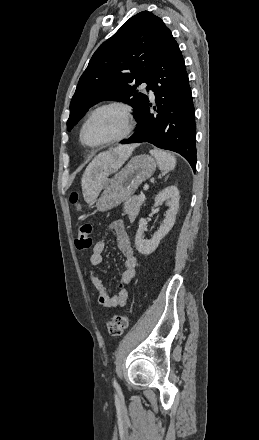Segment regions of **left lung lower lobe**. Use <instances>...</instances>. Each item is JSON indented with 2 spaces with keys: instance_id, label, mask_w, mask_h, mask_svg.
I'll return each mask as SVG.
<instances>
[{
  "instance_id": "left-lung-lower-lobe-1",
  "label": "left lung lower lobe",
  "mask_w": 259,
  "mask_h": 440,
  "mask_svg": "<svg viewBox=\"0 0 259 440\" xmlns=\"http://www.w3.org/2000/svg\"><path fill=\"white\" fill-rule=\"evenodd\" d=\"M147 89L156 97L155 114L147 103L135 133L121 142H148L158 148L182 155L195 171V113L185 62L172 34L166 38L162 51L151 72Z\"/></svg>"
}]
</instances>
